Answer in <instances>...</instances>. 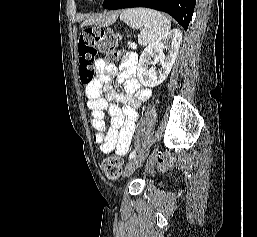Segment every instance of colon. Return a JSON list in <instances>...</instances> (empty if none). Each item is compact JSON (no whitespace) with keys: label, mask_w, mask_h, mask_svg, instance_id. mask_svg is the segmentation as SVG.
<instances>
[{"label":"colon","mask_w":257,"mask_h":237,"mask_svg":"<svg viewBox=\"0 0 257 237\" xmlns=\"http://www.w3.org/2000/svg\"><path fill=\"white\" fill-rule=\"evenodd\" d=\"M99 53L105 54L109 62H116L120 54L117 35L97 27L84 29L78 40L79 73L82 83H88L92 79L95 72V58ZM163 163V157L159 156L158 164ZM102 169L108 179H118L122 174L121 158L118 156L104 158Z\"/></svg>","instance_id":"colon-1"}]
</instances>
